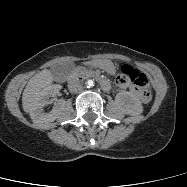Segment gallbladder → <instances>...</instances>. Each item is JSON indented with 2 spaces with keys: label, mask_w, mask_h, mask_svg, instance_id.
<instances>
[{
  "label": "gallbladder",
  "mask_w": 187,
  "mask_h": 187,
  "mask_svg": "<svg viewBox=\"0 0 187 187\" xmlns=\"http://www.w3.org/2000/svg\"><path fill=\"white\" fill-rule=\"evenodd\" d=\"M73 68V62L66 61L52 66L51 72L56 81H62L72 72Z\"/></svg>",
  "instance_id": "1"
}]
</instances>
